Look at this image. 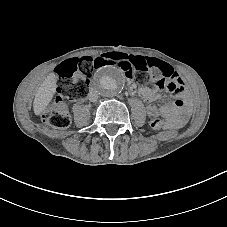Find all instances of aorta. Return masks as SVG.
<instances>
[{
  "instance_id": "obj_1",
  "label": "aorta",
  "mask_w": 227,
  "mask_h": 227,
  "mask_svg": "<svg viewBox=\"0 0 227 227\" xmlns=\"http://www.w3.org/2000/svg\"><path fill=\"white\" fill-rule=\"evenodd\" d=\"M125 81L121 70L108 65L98 69L94 75L93 88L103 97H113L119 94Z\"/></svg>"
}]
</instances>
